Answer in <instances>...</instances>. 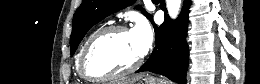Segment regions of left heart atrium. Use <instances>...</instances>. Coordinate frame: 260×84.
<instances>
[{"label": "left heart atrium", "instance_id": "obj_1", "mask_svg": "<svg viewBox=\"0 0 260 84\" xmlns=\"http://www.w3.org/2000/svg\"><path fill=\"white\" fill-rule=\"evenodd\" d=\"M131 35L136 43L141 55H144L152 45L153 31L145 19H138L131 31Z\"/></svg>", "mask_w": 260, "mask_h": 84}]
</instances>
